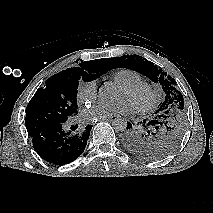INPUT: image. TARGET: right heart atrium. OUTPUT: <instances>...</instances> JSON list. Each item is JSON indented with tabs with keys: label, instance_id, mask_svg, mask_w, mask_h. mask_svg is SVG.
<instances>
[{
	"label": "right heart atrium",
	"instance_id": "d8ad5b80",
	"mask_svg": "<svg viewBox=\"0 0 213 213\" xmlns=\"http://www.w3.org/2000/svg\"><path fill=\"white\" fill-rule=\"evenodd\" d=\"M97 99V82H81L77 90V101L83 105L92 104Z\"/></svg>",
	"mask_w": 213,
	"mask_h": 213
}]
</instances>
